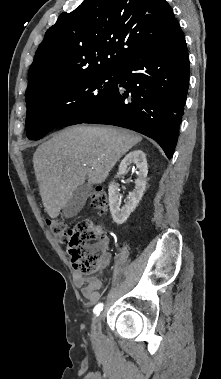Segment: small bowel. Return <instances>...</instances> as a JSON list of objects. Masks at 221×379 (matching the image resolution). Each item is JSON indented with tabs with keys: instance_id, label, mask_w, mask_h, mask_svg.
I'll use <instances>...</instances> for the list:
<instances>
[{
	"instance_id": "1",
	"label": "small bowel",
	"mask_w": 221,
	"mask_h": 379,
	"mask_svg": "<svg viewBox=\"0 0 221 379\" xmlns=\"http://www.w3.org/2000/svg\"><path fill=\"white\" fill-rule=\"evenodd\" d=\"M111 259V254L109 252H105L103 257L100 260L98 269L102 271L105 269ZM74 282L75 285L81 289L82 295L91 303H95L99 300L100 294H99V288L101 285V282L99 278L94 276H84L80 273H76L74 275Z\"/></svg>"
}]
</instances>
